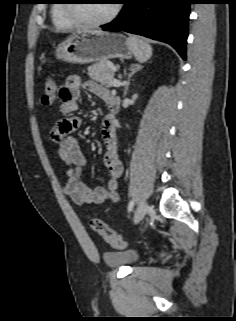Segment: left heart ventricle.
Segmentation results:
<instances>
[{
    "instance_id": "1",
    "label": "left heart ventricle",
    "mask_w": 236,
    "mask_h": 321,
    "mask_svg": "<svg viewBox=\"0 0 236 321\" xmlns=\"http://www.w3.org/2000/svg\"><path fill=\"white\" fill-rule=\"evenodd\" d=\"M113 5L109 0H87L79 4L78 14L87 20H101L110 14Z\"/></svg>"
}]
</instances>
